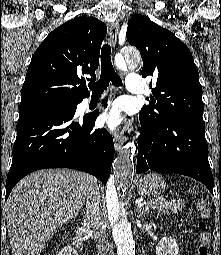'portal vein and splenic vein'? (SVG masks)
Returning <instances> with one entry per match:
<instances>
[{"mask_svg":"<svg viewBox=\"0 0 221 255\" xmlns=\"http://www.w3.org/2000/svg\"><path fill=\"white\" fill-rule=\"evenodd\" d=\"M139 205V207H141L143 204L142 203H140V204H138ZM147 209H148V207H147Z\"/></svg>","mask_w":221,"mask_h":255,"instance_id":"portal-vein-and-splenic-vein-1","label":"portal vein and splenic vein"}]
</instances>
